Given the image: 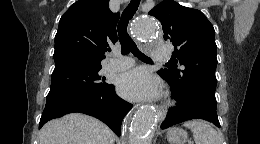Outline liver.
Masks as SVG:
<instances>
[{
  "instance_id": "1",
  "label": "liver",
  "mask_w": 260,
  "mask_h": 144,
  "mask_svg": "<svg viewBox=\"0 0 260 144\" xmlns=\"http://www.w3.org/2000/svg\"><path fill=\"white\" fill-rule=\"evenodd\" d=\"M114 139L108 126L80 113L49 121L40 131V144H114Z\"/></svg>"
}]
</instances>
